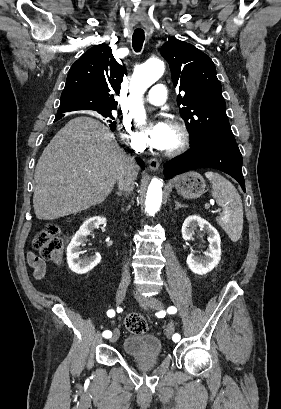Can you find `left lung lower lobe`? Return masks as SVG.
I'll return each instance as SVG.
<instances>
[{"instance_id": "left-lung-lower-lobe-1", "label": "left lung lower lobe", "mask_w": 281, "mask_h": 409, "mask_svg": "<svg viewBox=\"0 0 281 409\" xmlns=\"http://www.w3.org/2000/svg\"><path fill=\"white\" fill-rule=\"evenodd\" d=\"M191 147L185 154L165 164V177L171 178L196 168H215L231 175L245 192L242 155L236 143L205 139L191 143Z\"/></svg>"}]
</instances>
